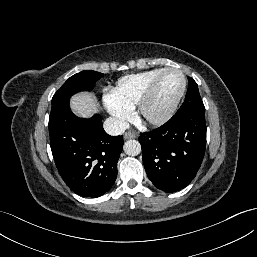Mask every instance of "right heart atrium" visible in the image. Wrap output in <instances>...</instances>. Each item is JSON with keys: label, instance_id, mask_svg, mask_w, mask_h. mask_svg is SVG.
I'll return each instance as SVG.
<instances>
[{"label": "right heart atrium", "instance_id": "obj_1", "mask_svg": "<svg viewBox=\"0 0 257 257\" xmlns=\"http://www.w3.org/2000/svg\"><path fill=\"white\" fill-rule=\"evenodd\" d=\"M108 111L115 118L119 127H123L133 114L132 109L117 104L108 94L105 98Z\"/></svg>", "mask_w": 257, "mask_h": 257}]
</instances>
